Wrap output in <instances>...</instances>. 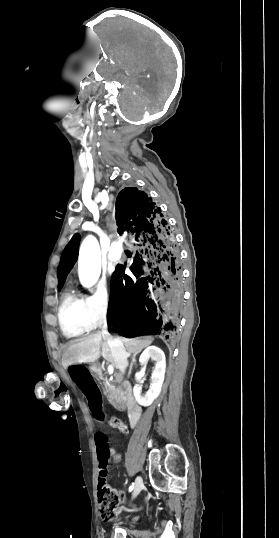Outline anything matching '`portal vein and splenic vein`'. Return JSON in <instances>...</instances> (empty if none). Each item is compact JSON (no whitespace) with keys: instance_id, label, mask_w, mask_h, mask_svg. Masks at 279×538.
<instances>
[{"instance_id":"1","label":"portal vein and splenic vein","mask_w":279,"mask_h":538,"mask_svg":"<svg viewBox=\"0 0 279 538\" xmlns=\"http://www.w3.org/2000/svg\"><path fill=\"white\" fill-rule=\"evenodd\" d=\"M107 370H108L109 374H113V372H114L113 366H108Z\"/></svg>"}]
</instances>
